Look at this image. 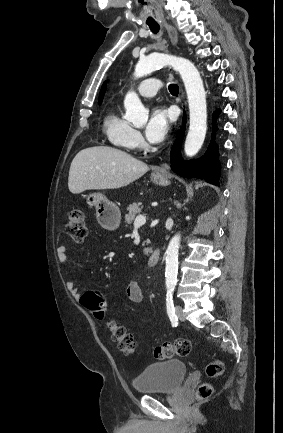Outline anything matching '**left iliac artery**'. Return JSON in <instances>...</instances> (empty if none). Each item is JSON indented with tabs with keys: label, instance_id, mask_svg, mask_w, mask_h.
Returning <instances> with one entry per match:
<instances>
[{
	"label": "left iliac artery",
	"instance_id": "obj_1",
	"mask_svg": "<svg viewBox=\"0 0 283 433\" xmlns=\"http://www.w3.org/2000/svg\"><path fill=\"white\" fill-rule=\"evenodd\" d=\"M173 290L174 288H168L167 298H166V308L167 313L170 318L172 325L176 324L178 321V317L175 315V308L173 303Z\"/></svg>",
	"mask_w": 283,
	"mask_h": 433
}]
</instances>
